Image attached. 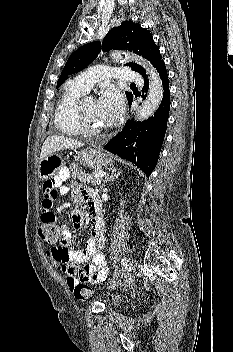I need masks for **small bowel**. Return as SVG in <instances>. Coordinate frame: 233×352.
Here are the masks:
<instances>
[{"label": "small bowel", "instance_id": "small-bowel-1", "mask_svg": "<svg viewBox=\"0 0 233 352\" xmlns=\"http://www.w3.org/2000/svg\"><path fill=\"white\" fill-rule=\"evenodd\" d=\"M69 176V170L62 168L54 178L44 182L41 221L42 224L58 226L64 234L65 243L49 248L47 255L65 276L67 285L72 290L81 282L94 284L104 281L108 275V267L103 253L106 242L104 236V219L99 208L95 209V203L98 204L96 196L92 190L77 182L72 183V199L76 205L81 200L88 202L91 213L90 236L84 250L68 249L72 240V233L66 225L58 224L57 217L52 208L56 198L70 191V188L64 185ZM71 221L76 229L83 225V216L77 208L72 212ZM83 262L89 263L83 267H79L78 265Z\"/></svg>", "mask_w": 233, "mask_h": 352}]
</instances>
